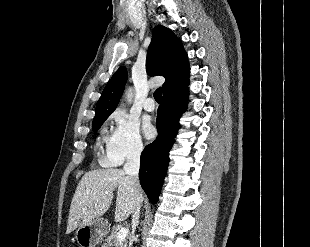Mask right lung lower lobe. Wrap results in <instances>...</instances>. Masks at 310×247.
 I'll return each mask as SVG.
<instances>
[{"label":"right lung lower lobe","mask_w":310,"mask_h":247,"mask_svg":"<svg viewBox=\"0 0 310 247\" xmlns=\"http://www.w3.org/2000/svg\"><path fill=\"white\" fill-rule=\"evenodd\" d=\"M188 84L163 95L158 108V136L141 154L139 178L149 200L154 204L164 181L169 163V151L180 127L179 118L187 108Z\"/></svg>","instance_id":"98d812e1"}]
</instances>
